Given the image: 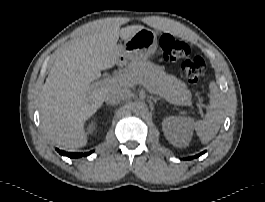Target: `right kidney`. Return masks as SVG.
Returning <instances> with one entry per match:
<instances>
[{"instance_id":"obj_1","label":"right kidney","mask_w":265,"mask_h":202,"mask_svg":"<svg viewBox=\"0 0 265 202\" xmlns=\"http://www.w3.org/2000/svg\"><path fill=\"white\" fill-rule=\"evenodd\" d=\"M96 122H92L89 126V130L93 131V129L95 128Z\"/></svg>"}]
</instances>
